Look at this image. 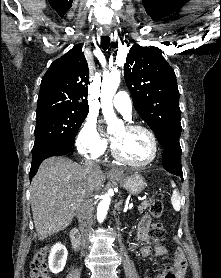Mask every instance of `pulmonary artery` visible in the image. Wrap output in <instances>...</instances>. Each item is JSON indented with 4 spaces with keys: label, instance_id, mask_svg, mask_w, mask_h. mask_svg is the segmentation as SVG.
<instances>
[{
    "label": "pulmonary artery",
    "instance_id": "e3ab8cb5",
    "mask_svg": "<svg viewBox=\"0 0 221 278\" xmlns=\"http://www.w3.org/2000/svg\"><path fill=\"white\" fill-rule=\"evenodd\" d=\"M113 105L126 118L131 117L132 103L127 93L118 92L113 98Z\"/></svg>",
    "mask_w": 221,
    "mask_h": 278
}]
</instances>
